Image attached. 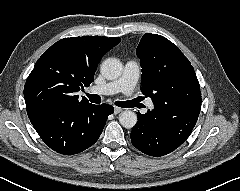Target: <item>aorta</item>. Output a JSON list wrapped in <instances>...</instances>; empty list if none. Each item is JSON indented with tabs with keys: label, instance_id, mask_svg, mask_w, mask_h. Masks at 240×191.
<instances>
[{
	"label": "aorta",
	"instance_id": "762f6f07",
	"mask_svg": "<svg viewBox=\"0 0 240 191\" xmlns=\"http://www.w3.org/2000/svg\"><path fill=\"white\" fill-rule=\"evenodd\" d=\"M101 73L108 80H114L121 76L122 63L116 58H108L101 64ZM119 122L125 128H133L137 123V115L133 111L125 110L119 115Z\"/></svg>",
	"mask_w": 240,
	"mask_h": 191
}]
</instances>
